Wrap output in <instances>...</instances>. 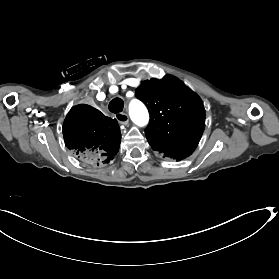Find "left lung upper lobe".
I'll use <instances>...</instances> for the list:
<instances>
[{
	"label": "left lung upper lobe",
	"mask_w": 279,
	"mask_h": 279,
	"mask_svg": "<svg viewBox=\"0 0 279 279\" xmlns=\"http://www.w3.org/2000/svg\"><path fill=\"white\" fill-rule=\"evenodd\" d=\"M136 97L149 110L145 135L152 148L176 160L192 154L205 127L201 100L173 76L144 81L136 89Z\"/></svg>",
	"instance_id": "obj_1"
}]
</instances>
